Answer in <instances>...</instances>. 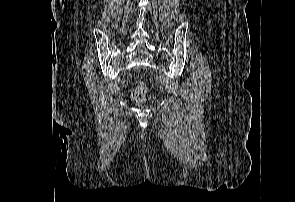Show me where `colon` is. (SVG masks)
I'll list each match as a JSON object with an SVG mask.
<instances>
[{
  "instance_id": "1",
  "label": "colon",
  "mask_w": 295,
  "mask_h": 202,
  "mask_svg": "<svg viewBox=\"0 0 295 202\" xmlns=\"http://www.w3.org/2000/svg\"><path fill=\"white\" fill-rule=\"evenodd\" d=\"M147 95V87L144 82L139 81L133 90L132 96L137 102H142Z\"/></svg>"
}]
</instances>
